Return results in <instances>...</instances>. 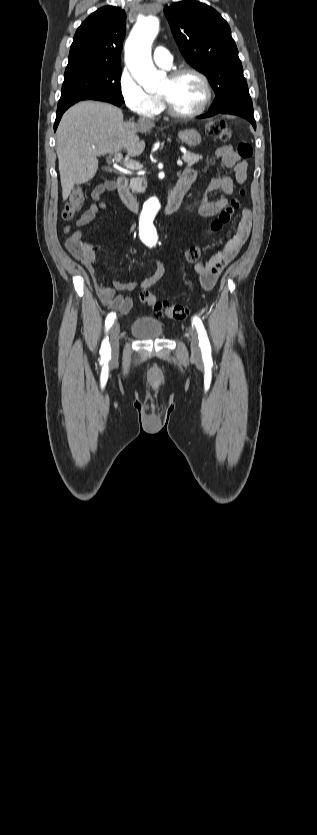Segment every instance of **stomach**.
Here are the masks:
<instances>
[{"label":"stomach","instance_id":"stomach-1","mask_svg":"<svg viewBox=\"0 0 317 835\" xmlns=\"http://www.w3.org/2000/svg\"><path fill=\"white\" fill-rule=\"evenodd\" d=\"M179 139L189 145L190 147H196L201 143V136L200 134L194 129H185L178 132Z\"/></svg>","mask_w":317,"mask_h":835}]
</instances>
